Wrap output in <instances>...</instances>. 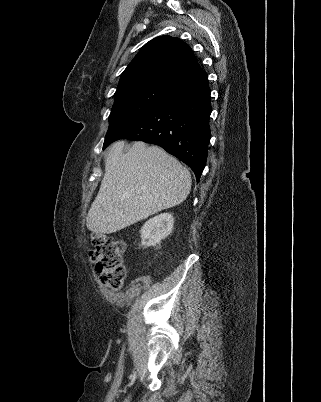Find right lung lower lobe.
Listing matches in <instances>:
<instances>
[{"instance_id": "1", "label": "right lung lower lobe", "mask_w": 321, "mask_h": 402, "mask_svg": "<svg viewBox=\"0 0 321 402\" xmlns=\"http://www.w3.org/2000/svg\"><path fill=\"white\" fill-rule=\"evenodd\" d=\"M210 114L208 75L201 70L173 85L160 103L103 148L123 138L157 144L187 164L199 182L211 138Z\"/></svg>"}]
</instances>
